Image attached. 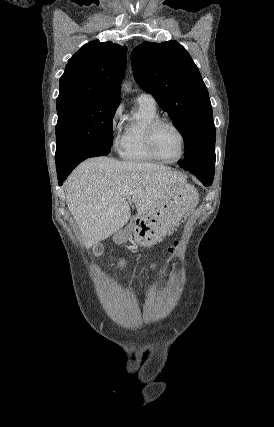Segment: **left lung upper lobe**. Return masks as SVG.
<instances>
[{"label":"left lung upper lobe","mask_w":274,"mask_h":427,"mask_svg":"<svg viewBox=\"0 0 274 427\" xmlns=\"http://www.w3.org/2000/svg\"><path fill=\"white\" fill-rule=\"evenodd\" d=\"M133 75L168 113L185 142L187 171L213 175L215 126L207 88L186 49L176 41L144 42L131 54Z\"/></svg>","instance_id":"5c2ea615"}]
</instances>
